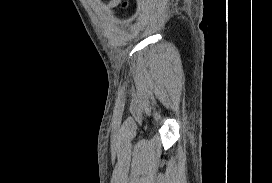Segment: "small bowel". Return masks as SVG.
<instances>
[{"mask_svg": "<svg viewBox=\"0 0 272 183\" xmlns=\"http://www.w3.org/2000/svg\"><path fill=\"white\" fill-rule=\"evenodd\" d=\"M118 0H111L109 1L107 4H106V7L107 8H111L113 7L116 3H117Z\"/></svg>", "mask_w": 272, "mask_h": 183, "instance_id": "obj_1", "label": "small bowel"}]
</instances>
